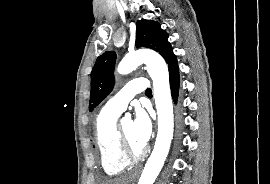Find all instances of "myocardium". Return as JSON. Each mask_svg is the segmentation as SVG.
I'll return each mask as SVG.
<instances>
[{"mask_svg": "<svg viewBox=\"0 0 270 184\" xmlns=\"http://www.w3.org/2000/svg\"><path fill=\"white\" fill-rule=\"evenodd\" d=\"M118 145L121 157L131 163L142 159L148 152V148L143 146L140 150H135L127 136L125 135L122 124L117 125Z\"/></svg>", "mask_w": 270, "mask_h": 184, "instance_id": "f54148a6", "label": "myocardium"}]
</instances>
